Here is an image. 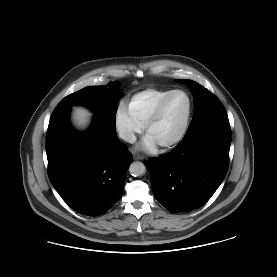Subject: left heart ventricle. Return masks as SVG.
<instances>
[{
  "instance_id": "1",
  "label": "left heart ventricle",
  "mask_w": 277,
  "mask_h": 277,
  "mask_svg": "<svg viewBox=\"0 0 277 277\" xmlns=\"http://www.w3.org/2000/svg\"><path fill=\"white\" fill-rule=\"evenodd\" d=\"M188 106V99L182 93H177L169 99L160 118L148 131L157 145L164 144L178 135L184 125Z\"/></svg>"
}]
</instances>
